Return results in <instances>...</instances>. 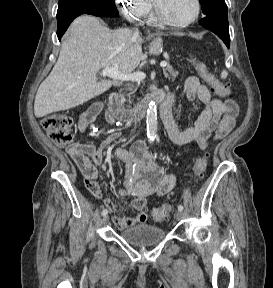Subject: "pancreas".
Wrapping results in <instances>:
<instances>
[{
  "label": "pancreas",
  "mask_w": 273,
  "mask_h": 288,
  "mask_svg": "<svg viewBox=\"0 0 273 288\" xmlns=\"http://www.w3.org/2000/svg\"><path fill=\"white\" fill-rule=\"evenodd\" d=\"M163 71H164L165 77L169 80H172V81H174L175 78L179 75V72L175 71L171 65H167V67ZM135 90L131 89L130 94L134 93ZM130 94H128L129 97H130Z\"/></svg>",
  "instance_id": "cf45deb5"
}]
</instances>
